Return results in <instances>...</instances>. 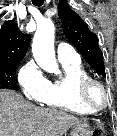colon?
Instances as JSON below:
<instances>
[{"label":"colon","instance_id":"colon-1","mask_svg":"<svg viewBox=\"0 0 117 136\" xmlns=\"http://www.w3.org/2000/svg\"><path fill=\"white\" fill-rule=\"evenodd\" d=\"M94 135H95V136H99V135H100V133H99V132H96Z\"/></svg>","mask_w":117,"mask_h":136}]
</instances>
